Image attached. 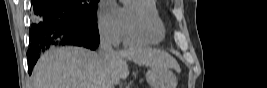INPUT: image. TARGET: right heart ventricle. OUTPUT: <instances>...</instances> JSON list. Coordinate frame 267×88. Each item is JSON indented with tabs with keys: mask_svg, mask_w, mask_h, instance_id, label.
Instances as JSON below:
<instances>
[{
	"mask_svg": "<svg viewBox=\"0 0 267 88\" xmlns=\"http://www.w3.org/2000/svg\"><path fill=\"white\" fill-rule=\"evenodd\" d=\"M124 17L123 41L127 46H146L160 43L165 36V25L156 1L134 0L122 9ZM139 16L141 21L135 18Z\"/></svg>",
	"mask_w": 267,
	"mask_h": 88,
	"instance_id": "obj_1",
	"label": "right heart ventricle"
}]
</instances>
